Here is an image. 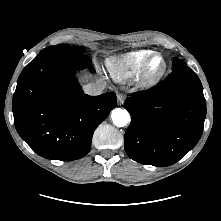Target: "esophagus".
Listing matches in <instances>:
<instances>
[{
  "label": "esophagus",
  "mask_w": 221,
  "mask_h": 221,
  "mask_svg": "<svg viewBox=\"0 0 221 221\" xmlns=\"http://www.w3.org/2000/svg\"><path fill=\"white\" fill-rule=\"evenodd\" d=\"M125 98H126V95H125V94L119 93V94L117 95V102H118V104H119V105H122V104L124 103V101H125Z\"/></svg>",
  "instance_id": "34e87169"
}]
</instances>
